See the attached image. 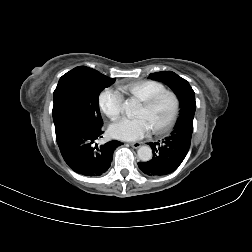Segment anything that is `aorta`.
<instances>
[{"mask_svg": "<svg viewBox=\"0 0 252 252\" xmlns=\"http://www.w3.org/2000/svg\"><path fill=\"white\" fill-rule=\"evenodd\" d=\"M135 108L134 101L125 102V112L127 116H131ZM138 157L141 161L147 162L152 159V149L149 146H141L137 151Z\"/></svg>", "mask_w": 252, "mask_h": 252, "instance_id": "obj_1", "label": "aorta"}]
</instances>
